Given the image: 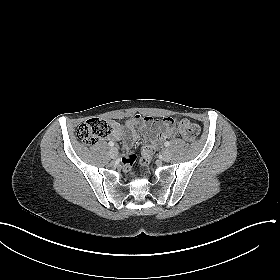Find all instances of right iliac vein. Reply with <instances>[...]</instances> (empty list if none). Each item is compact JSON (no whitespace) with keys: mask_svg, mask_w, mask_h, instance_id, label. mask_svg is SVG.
Instances as JSON below:
<instances>
[{"mask_svg":"<svg viewBox=\"0 0 280 280\" xmlns=\"http://www.w3.org/2000/svg\"><path fill=\"white\" fill-rule=\"evenodd\" d=\"M110 156H111V158H113V159L117 158V156H118V150H117L116 147H112V148L110 149Z\"/></svg>","mask_w":280,"mask_h":280,"instance_id":"obj_1","label":"right iliac vein"}]
</instances>
